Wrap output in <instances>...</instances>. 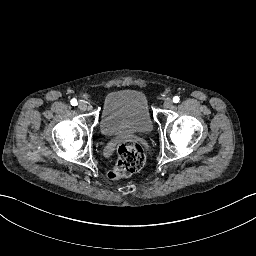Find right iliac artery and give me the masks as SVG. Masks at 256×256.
Wrapping results in <instances>:
<instances>
[{"instance_id": "right-iliac-artery-1", "label": "right iliac artery", "mask_w": 256, "mask_h": 256, "mask_svg": "<svg viewBox=\"0 0 256 256\" xmlns=\"http://www.w3.org/2000/svg\"><path fill=\"white\" fill-rule=\"evenodd\" d=\"M70 103H71L72 106L78 105L77 100H76L75 98L72 99V100L70 101Z\"/></svg>"}]
</instances>
